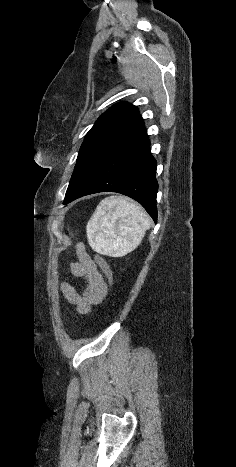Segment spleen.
<instances>
[{"label":"spleen","instance_id":"1","mask_svg":"<svg viewBox=\"0 0 236 467\" xmlns=\"http://www.w3.org/2000/svg\"><path fill=\"white\" fill-rule=\"evenodd\" d=\"M150 219L135 202L122 197L103 199L86 226L89 245L99 254L122 257L141 243Z\"/></svg>","mask_w":236,"mask_h":467}]
</instances>
